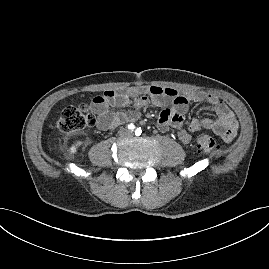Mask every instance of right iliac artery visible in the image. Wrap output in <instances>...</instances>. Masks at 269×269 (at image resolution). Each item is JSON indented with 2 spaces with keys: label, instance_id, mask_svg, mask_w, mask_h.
I'll return each instance as SVG.
<instances>
[{
  "label": "right iliac artery",
  "instance_id": "right-iliac-artery-1",
  "mask_svg": "<svg viewBox=\"0 0 269 269\" xmlns=\"http://www.w3.org/2000/svg\"><path fill=\"white\" fill-rule=\"evenodd\" d=\"M127 128L130 130V131H133L135 129V125L134 124H128L127 125Z\"/></svg>",
  "mask_w": 269,
  "mask_h": 269
}]
</instances>
